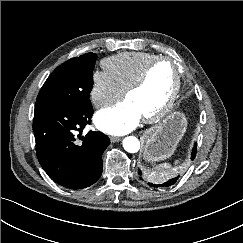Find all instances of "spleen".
<instances>
[{
    "label": "spleen",
    "instance_id": "spleen-1",
    "mask_svg": "<svg viewBox=\"0 0 243 243\" xmlns=\"http://www.w3.org/2000/svg\"><path fill=\"white\" fill-rule=\"evenodd\" d=\"M155 168L158 171H164V170L170 168V164L169 163H163V164L157 165Z\"/></svg>",
    "mask_w": 243,
    "mask_h": 243
}]
</instances>
